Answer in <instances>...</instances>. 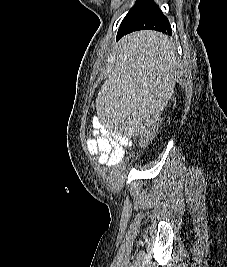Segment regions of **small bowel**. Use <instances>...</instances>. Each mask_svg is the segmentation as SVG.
<instances>
[{
  "label": "small bowel",
  "instance_id": "1",
  "mask_svg": "<svg viewBox=\"0 0 227 267\" xmlns=\"http://www.w3.org/2000/svg\"><path fill=\"white\" fill-rule=\"evenodd\" d=\"M94 132L95 137L88 139L86 146L90 153L96 155V161L100 164H118L125 155V149L133 144L131 137H120L119 134L105 132L100 123Z\"/></svg>",
  "mask_w": 227,
  "mask_h": 267
}]
</instances>
